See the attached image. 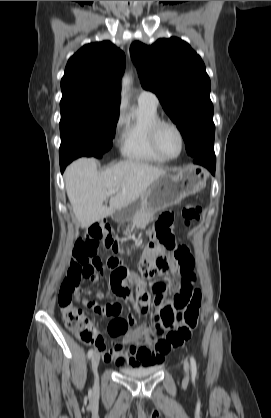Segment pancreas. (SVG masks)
I'll use <instances>...</instances> for the list:
<instances>
[{
	"mask_svg": "<svg viewBox=\"0 0 271 418\" xmlns=\"http://www.w3.org/2000/svg\"><path fill=\"white\" fill-rule=\"evenodd\" d=\"M154 215V211H150L148 209L142 208L138 210L131 219V225L128 226V229L124 232L125 235H128L130 237V233L133 228H144L150 218ZM130 228V229H129Z\"/></svg>",
	"mask_w": 271,
	"mask_h": 418,
	"instance_id": "cf45deb5",
	"label": "pancreas"
}]
</instances>
